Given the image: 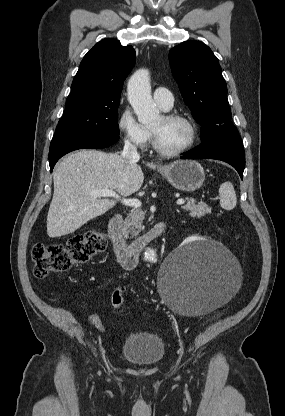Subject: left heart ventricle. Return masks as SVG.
<instances>
[{"mask_svg": "<svg viewBox=\"0 0 285 416\" xmlns=\"http://www.w3.org/2000/svg\"><path fill=\"white\" fill-rule=\"evenodd\" d=\"M158 144L166 150L184 147L190 137L188 126L180 120H167L159 115L151 124Z\"/></svg>", "mask_w": 285, "mask_h": 416, "instance_id": "1", "label": "left heart ventricle"}]
</instances>
